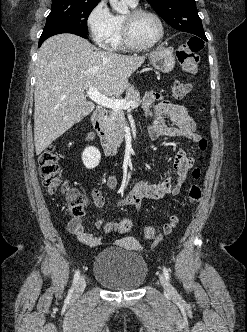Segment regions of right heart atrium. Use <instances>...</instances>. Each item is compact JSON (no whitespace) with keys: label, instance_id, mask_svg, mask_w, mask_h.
<instances>
[{"label":"right heart atrium","instance_id":"right-heart-atrium-1","mask_svg":"<svg viewBox=\"0 0 247 332\" xmlns=\"http://www.w3.org/2000/svg\"><path fill=\"white\" fill-rule=\"evenodd\" d=\"M86 26L92 40L101 47L108 45L114 27V15L105 0H99L86 17Z\"/></svg>","mask_w":247,"mask_h":332}]
</instances>
